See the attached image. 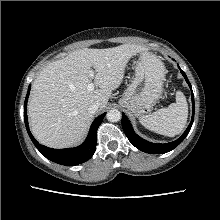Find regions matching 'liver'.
I'll return each mask as SVG.
<instances>
[{"label":"liver","instance_id":"6515ba94","mask_svg":"<svg viewBox=\"0 0 220 220\" xmlns=\"http://www.w3.org/2000/svg\"><path fill=\"white\" fill-rule=\"evenodd\" d=\"M144 50L135 44L106 49L84 48L48 64L34 80L28 102L35 138L53 148L79 142L93 119V114L88 112L89 106L98 103L100 110L106 107L112 91L123 81L128 61ZM92 67L94 77L90 76ZM90 83L99 89L89 92Z\"/></svg>","mask_w":220,"mask_h":220}]
</instances>
